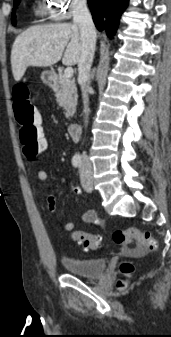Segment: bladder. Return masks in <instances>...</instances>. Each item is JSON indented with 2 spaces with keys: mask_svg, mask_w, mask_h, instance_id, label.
Segmentation results:
<instances>
[{
  "mask_svg": "<svg viewBox=\"0 0 171 337\" xmlns=\"http://www.w3.org/2000/svg\"><path fill=\"white\" fill-rule=\"evenodd\" d=\"M62 263L69 274L84 278L100 277L106 269V260L103 258L88 259L64 256Z\"/></svg>",
  "mask_w": 171,
  "mask_h": 337,
  "instance_id": "31cf9c89",
  "label": "bladder"
}]
</instances>
